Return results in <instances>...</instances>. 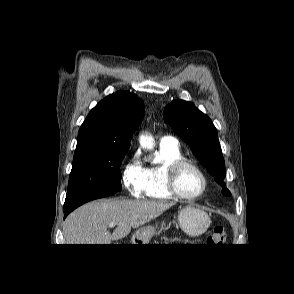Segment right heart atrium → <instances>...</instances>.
I'll return each instance as SVG.
<instances>
[{
	"label": "right heart atrium",
	"mask_w": 294,
	"mask_h": 294,
	"mask_svg": "<svg viewBox=\"0 0 294 294\" xmlns=\"http://www.w3.org/2000/svg\"><path fill=\"white\" fill-rule=\"evenodd\" d=\"M144 174L145 166L140 153L134 151L123 165L121 174L122 184L132 197L144 194Z\"/></svg>",
	"instance_id": "d8ad5b80"
}]
</instances>
